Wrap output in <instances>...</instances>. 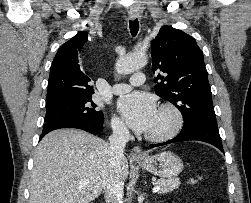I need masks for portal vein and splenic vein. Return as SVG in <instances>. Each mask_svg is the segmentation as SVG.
Returning <instances> with one entry per match:
<instances>
[{
    "label": "portal vein and splenic vein",
    "mask_w": 251,
    "mask_h": 203,
    "mask_svg": "<svg viewBox=\"0 0 251 203\" xmlns=\"http://www.w3.org/2000/svg\"><path fill=\"white\" fill-rule=\"evenodd\" d=\"M161 190V186L160 185H156L154 188H153V193H157Z\"/></svg>",
    "instance_id": "18ae733b"
}]
</instances>
